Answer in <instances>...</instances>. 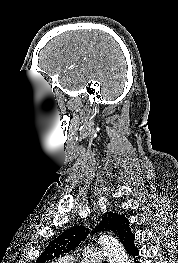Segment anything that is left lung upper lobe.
<instances>
[{
	"label": "left lung upper lobe",
	"mask_w": 178,
	"mask_h": 263,
	"mask_svg": "<svg viewBox=\"0 0 178 263\" xmlns=\"http://www.w3.org/2000/svg\"><path fill=\"white\" fill-rule=\"evenodd\" d=\"M127 222V218L116 213H108L104 215L100 225L98 226L99 231L111 230L118 236ZM82 226L73 227L66 230L60 236L55 238L49 243L42 255L36 260V263H45L46 261L52 260L53 258L75 249L78 244L86 239V232Z\"/></svg>",
	"instance_id": "5c2ea615"
}]
</instances>
